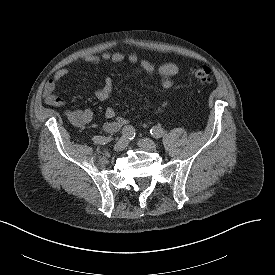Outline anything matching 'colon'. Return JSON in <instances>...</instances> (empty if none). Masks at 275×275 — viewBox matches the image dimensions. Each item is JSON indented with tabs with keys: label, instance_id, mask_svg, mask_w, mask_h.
Returning <instances> with one entry per match:
<instances>
[{
	"label": "colon",
	"instance_id": "colon-1",
	"mask_svg": "<svg viewBox=\"0 0 275 275\" xmlns=\"http://www.w3.org/2000/svg\"><path fill=\"white\" fill-rule=\"evenodd\" d=\"M189 75L198 84L208 85L212 82L211 70L205 66L190 69Z\"/></svg>",
	"mask_w": 275,
	"mask_h": 275
}]
</instances>
